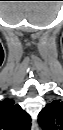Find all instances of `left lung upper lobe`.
Here are the masks:
<instances>
[{"mask_svg": "<svg viewBox=\"0 0 63 130\" xmlns=\"http://www.w3.org/2000/svg\"><path fill=\"white\" fill-rule=\"evenodd\" d=\"M38 117L44 130H63V102L55 100L47 104Z\"/></svg>", "mask_w": 63, "mask_h": 130, "instance_id": "1", "label": "left lung upper lobe"}]
</instances>
